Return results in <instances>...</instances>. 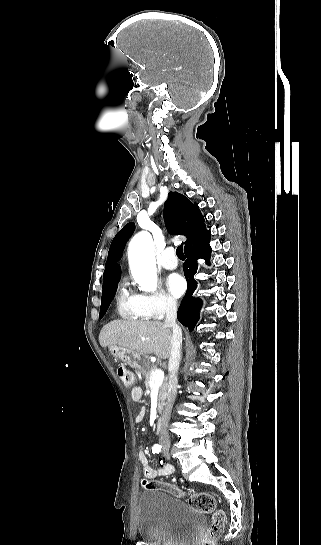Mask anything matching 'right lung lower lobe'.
Segmentation results:
<instances>
[{"mask_svg": "<svg viewBox=\"0 0 321 545\" xmlns=\"http://www.w3.org/2000/svg\"><path fill=\"white\" fill-rule=\"evenodd\" d=\"M209 242L210 232L204 227L185 244L187 260L183 265V270L188 282V289L178 309L177 318L190 331L194 329L199 319V310L202 304L200 299L193 297L194 290L197 287V282L194 280V275L198 269L197 259L204 258L207 262L209 261L211 254Z\"/></svg>", "mask_w": 321, "mask_h": 545, "instance_id": "1", "label": "right lung lower lobe"}]
</instances>
